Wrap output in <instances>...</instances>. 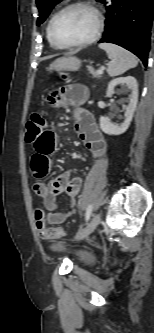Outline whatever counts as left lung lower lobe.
I'll return each instance as SVG.
<instances>
[{
	"instance_id": "1",
	"label": "left lung lower lobe",
	"mask_w": 154,
	"mask_h": 333,
	"mask_svg": "<svg viewBox=\"0 0 154 333\" xmlns=\"http://www.w3.org/2000/svg\"><path fill=\"white\" fill-rule=\"evenodd\" d=\"M105 32L99 43H114L138 56L147 66L154 18V0H102Z\"/></svg>"
}]
</instances>
